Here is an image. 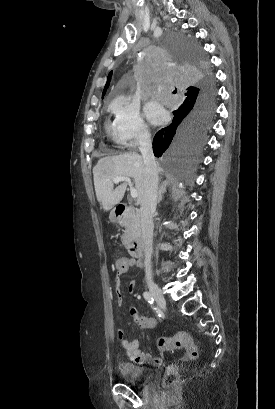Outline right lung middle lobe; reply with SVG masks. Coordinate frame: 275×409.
Returning a JSON list of instances; mask_svg holds the SVG:
<instances>
[{"instance_id": "obj_1", "label": "right lung middle lobe", "mask_w": 275, "mask_h": 409, "mask_svg": "<svg viewBox=\"0 0 275 409\" xmlns=\"http://www.w3.org/2000/svg\"><path fill=\"white\" fill-rule=\"evenodd\" d=\"M163 51H175V64L180 66L183 85H196L193 94L181 106L171 108L172 123L159 130L153 140V152L163 161L164 169H174L179 178L189 177L191 163L199 158L205 147L206 137L214 115L215 85L214 76L205 57L204 50H199L198 42L192 36H184L182 30L166 33ZM155 91L167 90V83L155 82ZM170 102L168 97L163 99ZM190 181V178H186Z\"/></svg>"}]
</instances>
